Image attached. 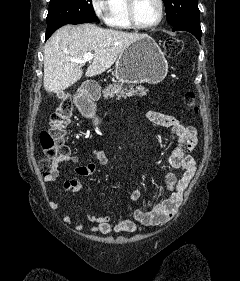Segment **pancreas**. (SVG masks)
I'll return each mask as SVG.
<instances>
[{"label": "pancreas", "instance_id": "pancreas-1", "mask_svg": "<svg viewBox=\"0 0 240 281\" xmlns=\"http://www.w3.org/2000/svg\"><path fill=\"white\" fill-rule=\"evenodd\" d=\"M148 89H145L143 86H136V87H123L122 84L113 83L109 84L103 91V97L105 99L113 98L117 96L118 99L124 97H132V96H146Z\"/></svg>", "mask_w": 240, "mask_h": 281}]
</instances>
